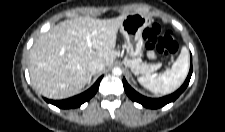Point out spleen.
<instances>
[{"mask_svg":"<svg viewBox=\"0 0 225 132\" xmlns=\"http://www.w3.org/2000/svg\"><path fill=\"white\" fill-rule=\"evenodd\" d=\"M189 70V52L186 47L181 49L180 55L171 69L158 77L142 76L139 83L155 94H168L178 89L187 77Z\"/></svg>","mask_w":225,"mask_h":132,"instance_id":"obj_1","label":"spleen"}]
</instances>
